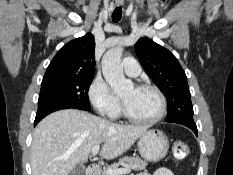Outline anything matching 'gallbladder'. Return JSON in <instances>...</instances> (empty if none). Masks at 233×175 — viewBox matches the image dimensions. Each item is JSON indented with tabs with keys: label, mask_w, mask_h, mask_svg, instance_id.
Returning a JSON list of instances; mask_svg holds the SVG:
<instances>
[{
	"label": "gallbladder",
	"mask_w": 233,
	"mask_h": 175,
	"mask_svg": "<svg viewBox=\"0 0 233 175\" xmlns=\"http://www.w3.org/2000/svg\"><path fill=\"white\" fill-rule=\"evenodd\" d=\"M85 167L82 164L77 165L70 173V175H84Z\"/></svg>",
	"instance_id": "obj_1"
}]
</instances>
